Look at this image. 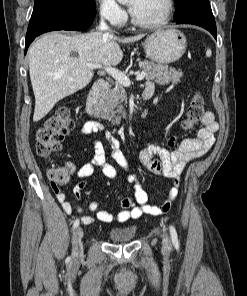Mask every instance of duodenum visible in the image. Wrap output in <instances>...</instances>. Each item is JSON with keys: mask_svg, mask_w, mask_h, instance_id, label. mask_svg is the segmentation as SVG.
<instances>
[{"mask_svg": "<svg viewBox=\"0 0 247 296\" xmlns=\"http://www.w3.org/2000/svg\"><path fill=\"white\" fill-rule=\"evenodd\" d=\"M110 89V85L105 80L97 81L89 92L86 101V113L93 119L101 118L100 102ZM153 95V91L145 90L143 92V99L148 100Z\"/></svg>", "mask_w": 247, "mask_h": 296, "instance_id": "1", "label": "duodenum"}]
</instances>
